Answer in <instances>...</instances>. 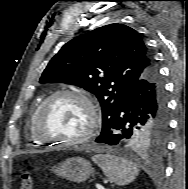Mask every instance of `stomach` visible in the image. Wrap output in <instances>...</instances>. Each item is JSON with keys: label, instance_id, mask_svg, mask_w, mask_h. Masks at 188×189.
Wrapping results in <instances>:
<instances>
[{"label": "stomach", "instance_id": "stomach-1", "mask_svg": "<svg viewBox=\"0 0 188 189\" xmlns=\"http://www.w3.org/2000/svg\"><path fill=\"white\" fill-rule=\"evenodd\" d=\"M53 171L74 182H83L89 178L93 169L91 163L84 158L74 157L65 160L63 163L55 166Z\"/></svg>", "mask_w": 188, "mask_h": 189}]
</instances>
